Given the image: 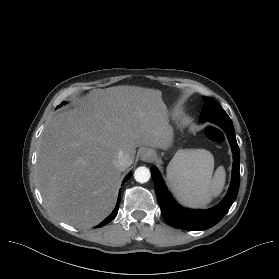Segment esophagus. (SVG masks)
Listing matches in <instances>:
<instances>
[{
  "label": "esophagus",
  "instance_id": "esophagus-1",
  "mask_svg": "<svg viewBox=\"0 0 279 279\" xmlns=\"http://www.w3.org/2000/svg\"><path fill=\"white\" fill-rule=\"evenodd\" d=\"M154 156L155 154L151 149H144L141 153V159L145 162H151Z\"/></svg>",
  "mask_w": 279,
  "mask_h": 279
}]
</instances>
